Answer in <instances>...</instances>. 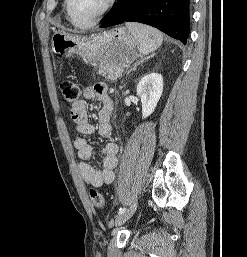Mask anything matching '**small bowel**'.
I'll use <instances>...</instances> for the list:
<instances>
[{
    "label": "small bowel",
    "mask_w": 247,
    "mask_h": 257,
    "mask_svg": "<svg viewBox=\"0 0 247 257\" xmlns=\"http://www.w3.org/2000/svg\"><path fill=\"white\" fill-rule=\"evenodd\" d=\"M84 96L86 99H98L100 101L102 106L98 113L97 131L100 137L104 139L111 138L113 135L111 123L113 101L107 92V87L102 83L88 86L84 90ZM71 118L79 134L89 136L95 133L96 128L90 121L85 100H79L71 106ZM74 147L81 160L78 167L85 183L98 188L113 182L114 169L118 163V146L116 143L109 142L100 150L102 156L101 169H97L89 163L93 156V147L85 138H77L74 142Z\"/></svg>",
    "instance_id": "small-bowel-1"
}]
</instances>
